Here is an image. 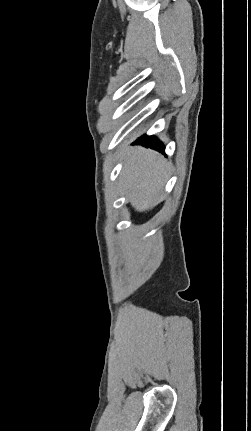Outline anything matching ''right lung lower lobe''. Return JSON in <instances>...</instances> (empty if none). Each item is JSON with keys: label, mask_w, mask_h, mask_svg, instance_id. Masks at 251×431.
<instances>
[{"label": "right lung lower lobe", "mask_w": 251, "mask_h": 431, "mask_svg": "<svg viewBox=\"0 0 251 431\" xmlns=\"http://www.w3.org/2000/svg\"><path fill=\"white\" fill-rule=\"evenodd\" d=\"M136 144H142L145 147H150L152 149L158 150L159 152L164 153V146L153 136H142L136 142Z\"/></svg>", "instance_id": "1"}]
</instances>
